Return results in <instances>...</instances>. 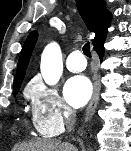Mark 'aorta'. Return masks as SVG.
<instances>
[{
  "label": "aorta",
  "instance_id": "aorta-1",
  "mask_svg": "<svg viewBox=\"0 0 131 151\" xmlns=\"http://www.w3.org/2000/svg\"><path fill=\"white\" fill-rule=\"evenodd\" d=\"M63 71L62 53L58 44L51 43L43 51L41 57V74L49 85H55Z\"/></svg>",
  "mask_w": 131,
  "mask_h": 151
}]
</instances>
